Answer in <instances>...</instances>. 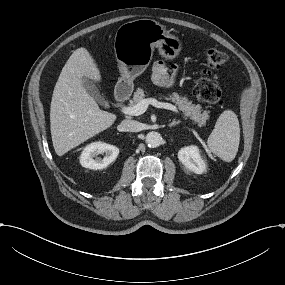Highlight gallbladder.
I'll return each instance as SVG.
<instances>
[{"instance_id":"gallbladder-1","label":"gallbladder","mask_w":285,"mask_h":285,"mask_svg":"<svg viewBox=\"0 0 285 285\" xmlns=\"http://www.w3.org/2000/svg\"><path fill=\"white\" fill-rule=\"evenodd\" d=\"M85 85H89L90 89H88L89 94H91L94 99L101 104H104L106 107L109 106L108 102H105L104 99L102 98V95H100L98 92L99 90L97 89V86L89 81L85 83Z\"/></svg>"}]
</instances>
